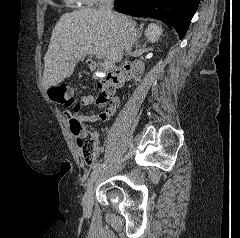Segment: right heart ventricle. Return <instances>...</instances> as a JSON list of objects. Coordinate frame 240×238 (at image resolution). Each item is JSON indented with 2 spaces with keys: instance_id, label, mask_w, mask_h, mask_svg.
<instances>
[{
  "instance_id": "right-heart-ventricle-1",
  "label": "right heart ventricle",
  "mask_w": 240,
  "mask_h": 238,
  "mask_svg": "<svg viewBox=\"0 0 240 238\" xmlns=\"http://www.w3.org/2000/svg\"><path fill=\"white\" fill-rule=\"evenodd\" d=\"M68 3H81L80 0H65Z\"/></svg>"
}]
</instances>
